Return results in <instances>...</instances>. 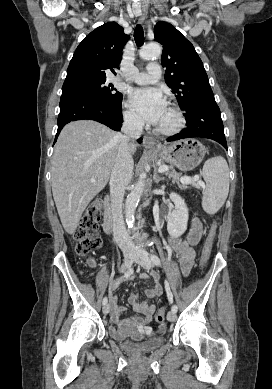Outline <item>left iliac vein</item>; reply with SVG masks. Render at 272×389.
<instances>
[{"label": "left iliac vein", "instance_id": "obj_1", "mask_svg": "<svg viewBox=\"0 0 272 389\" xmlns=\"http://www.w3.org/2000/svg\"><path fill=\"white\" fill-rule=\"evenodd\" d=\"M135 262L141 265L144 269H150L152 267L151 259L149 258L147 252L141 248L135 250ZM168 321H174L176 319V314L170 311L167 314Z\"/></svg>", "mask_w": 272, "mask_h": 389}]
</instances>
